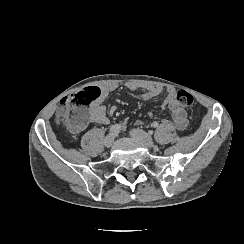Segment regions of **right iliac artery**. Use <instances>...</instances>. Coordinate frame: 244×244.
I'll return each instance as SVG.
<instances>
[{
    "instance_id": "1",
    "label": "right iliac artery",
    "mask_w": 244,
    "mask_h": 244,
    "mask_svg": "<svg viewBox=\"0 0 244 244\" xmlns=\"http://www.w3.org/2000/svg\"><path fill=\"white\" fill-rule=\"evenodd\" d=\"M121 127H122L121 124H115V125H113V126L110 128V130H109V135L118 132V131L121 129Z\"/></svg>"
}]
</instances>
